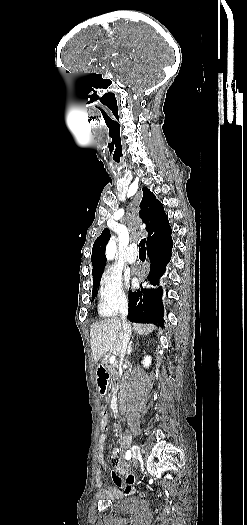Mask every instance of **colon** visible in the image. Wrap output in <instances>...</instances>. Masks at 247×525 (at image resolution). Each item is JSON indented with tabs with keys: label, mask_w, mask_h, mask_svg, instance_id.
<instances>
[{
	"label": "colon",
	"mask_w": 247,
	"mask_h": 525,
	"mask_svg": "<svg viewBox=\"0 0 247 525\" xmlns=\"http://www.w3.org/2000/svg\"><path fill=\"white\" fill-rule=\"evenodd\" d=\"M98 424H99L100 427H102V430L104 432H107L109 430V427H108L109 420L107 418H105V417L100 418L99 421H98Z\"/></svg>",
	"instance_id": "colon-1"
}]
</instances>
